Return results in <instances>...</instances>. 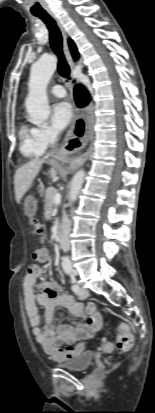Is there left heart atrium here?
Masks as SVG:
<instances>
[{
  "instance_id": "1",
  "label": "left heart atrium",
  "mask_w": 155,
  "mask_h": 413,
  "mask_svg": "<svg viewBox=\"0 0 155 413\" xmlns=\"http://www.w3.org/2000/svg\"><path fill=\"white\" fill-rule=\"evenodd\" d=\"M73 118V110L68 102H59L52 109V124L58 131L68 126Z\"/></svg>"
}]
</instances>
